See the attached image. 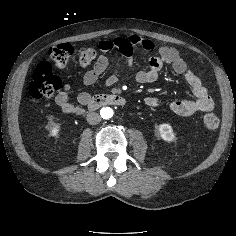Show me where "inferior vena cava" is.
<instances>
[{"label": "inferior vena cava", "mask_w": 236, "mask_h": 236, "mask_svg": "<svg viewBox=\"0 0 236 236\" xmlns=\"http://www.w3.org/2000/svg\"><path fill=\"white\" fill-rule=\"evenodd\" d=\"M101 116L96 112H90L87 114V122L91 125H96L100 123Z\"/></svg>", "instance_id": "1"}]
</instances>
